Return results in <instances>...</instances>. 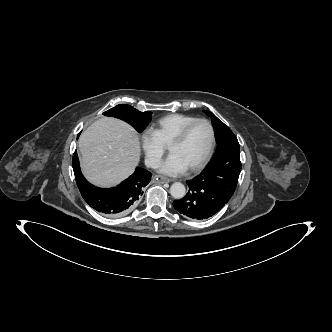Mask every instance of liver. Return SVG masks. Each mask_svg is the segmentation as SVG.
<instances>
[{"instance_id": "1", "label": "liver", "mask_w": 332, "mask_h": 332, "mask_svg": "<svg viewBox=\"0 0 332 332\" xmlns=\"http://www.w3.org/2000/svg\"><path fill=\"white\" fill-rule=\"evenodd\" d=\"M78 147L85 178L99 187H111L126 179L140 158L136 131L113 117L93 122L80 136Z\"/></svg>"}]
</instances>
